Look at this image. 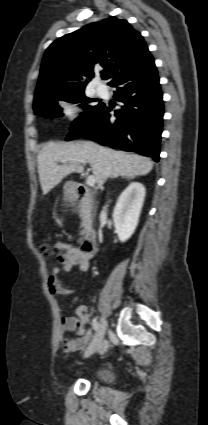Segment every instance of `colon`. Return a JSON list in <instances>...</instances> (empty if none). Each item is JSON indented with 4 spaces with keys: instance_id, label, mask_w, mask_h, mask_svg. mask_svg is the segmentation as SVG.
<instances>
[{
    "instance_id": "5ec220e1",
    "label": "colon",
    "mask_w": 208,
    "mask_h": 425,
    "mask_svg": "<svg viewBox=\"0 0 208 425\" xmlns=\"http://www.w3.org/2000/svg\"><path fill=\"white\" fill-rule=\"evenodd\" d=\"M39 249L42 252V254L47 257L53 256L57 253V250L55 248H53L52 246L46 243L41 244L39 246Z\"/></svg>"
}]
</instances>
